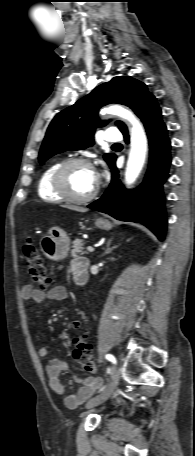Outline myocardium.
Here are the masks:
<instances>
[{"instance_id":"myocardium-1","label":"myocardium","mask_w":195,"mask_h":456,"mask_svg":"<svg viewBox=\"0 0 195 456\" xmlns=\"http://www.w3.org/2000/svg\"><path fill=\"white\" fill-rule=\"evenodd\" d=\"M76 165H84L94 169L93 164L85 158H70L60 163V165L55 169L52 175V187L54 191L62 197V199L69 201L71 203H87L95 198L99 190V184L97 182L95 188L91 193L86 196H76L73 195L67 186L66 175L68 170Z\"/></svg>"}]
</instances>
